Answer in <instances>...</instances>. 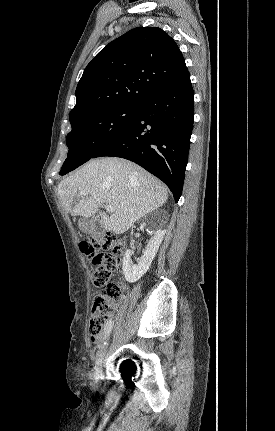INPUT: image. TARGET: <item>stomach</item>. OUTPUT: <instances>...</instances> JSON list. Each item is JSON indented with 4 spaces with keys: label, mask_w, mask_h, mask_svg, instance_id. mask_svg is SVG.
Wrapping results in <instances>:
<instances>
[{
    "label": "stomach",
    "mask_w": 275,
    "mask_h": 431,
    "mask_svg": "<svg viewBox=\"0 0 275 431\" xmlns=\"http://www.w3.org/2000/svg\"><path fill=\"white\" fill-rule=\"evenodd\" d=\"M78 225L83 232H89L90 231V227L85 220H80L78 222Z\"/></svg>",
    "instance_id": "stomach-1"
}]
</instances>
